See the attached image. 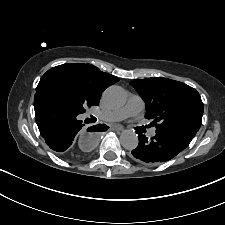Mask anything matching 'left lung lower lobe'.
I'll list each match as a JSON object with an SVG mask.
<instances>
[{"instance_id": "1", "label": "left lung lower lobe", "mask_w": 225, "mask_h": 225, "mask_svg": "<svg viewBox=\"0 0 225 225\" xmlns=\"http://www.w3.org/2000/svg\"><path fill=\"white\" fill-rule=\"evenodd\" d=\"M136 133L139 137V144L132 150L133 159L143 164L157 165L172 159L183 151L197 131L185 129L156 133L151 139L139 132Z\"/></svg>"}]
</instances>
